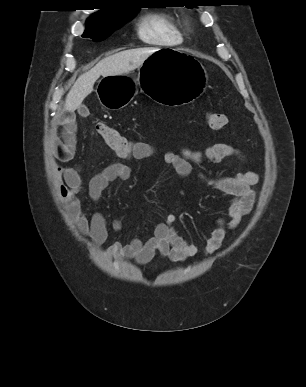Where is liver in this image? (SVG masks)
<instances>
[{
  "label": "liver",
  "mask_w": 306,
  "mask_h": 387,
  "mask_svg": "<svg viewBox=\"0 0 306 387\" xmlns=\"http://www.w3.org/2000/svg\"><path fill=\"white\" fill-rule=\"evenodd\" d=\"M155 48H139L121 51L99 61L92 69L82 74L66 96L64 108L78 109L83 100L93 91L96 80L102 75L118 76L138 68L155 51Z\"/></svg>",
  "instance_id": "obj_1"
}]
</instances>
